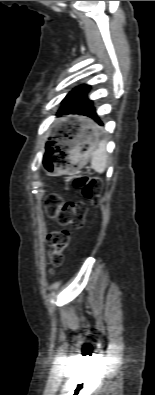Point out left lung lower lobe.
Listing matches in <instances>:
<instances>
[{
  "label": "left lung lower lobe",
  "mask_w": 155,
  "mask_h": 395,
  "mask_svg": "<svg viewBox=\"0 0 155 395\" xmlns=\"http://www.w3.org/2000/svg\"><path fill=\"white\" fill-rule=\"evenodd\" d=\"M80 115H85V116L91 117L96 122H98L100 125H103V123L100 121V119L98 118V116L95 112V108L92 105V101H90L88 99L86 100L84 110L82 111V114H80ZM93 128H95V126ZM91 130H93V129H91Z\"/></svg>",
  "instance_id": "0a47b994"
}]
</instances>
